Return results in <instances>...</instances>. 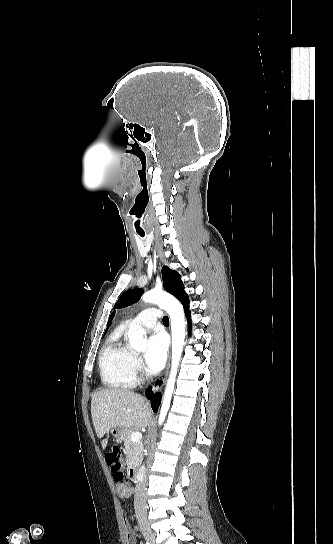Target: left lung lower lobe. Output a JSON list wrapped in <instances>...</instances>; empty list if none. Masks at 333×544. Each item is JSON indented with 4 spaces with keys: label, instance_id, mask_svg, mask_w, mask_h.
Returning <instances> with one entry per match:
<instances>
[{
    "label": "left lung lower lobe",
    "instance_id": "0a47b994",
    "mask_svg": "<svg viewBox=\"0 0 333 544\" xmlns=\"http://www.w3.org/2000/svg\"><path fill=\"white\" fill-rule=\"evenodd\" d=\"M183 306H184V311H185L186 317H187V319H188V327L190 328L191 323H190L189 302H185V303L183 304Z\"/></svg>",
    "mask_w": 333,
    "mask_h": 544
}]
</instances>
